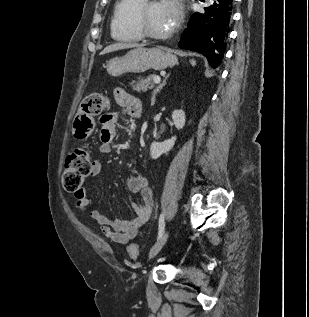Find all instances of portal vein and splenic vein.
<instances>
[{"mask_svg": "<svg viewBox=\"0 0 309 317\" xmlns=\"http://www.w3.org/2000/svg\"><path fill=\"white\" fill-rule=\"evenodd\" d=\"M153 81H154V83L158 84V83H160L161 78L159 76H156Z\"/></svg>", "mask_w": 309, "mask_h": 317, "instance_id": "18ae733b", "label": "portal vein and splenic vein"}]
</instances>
